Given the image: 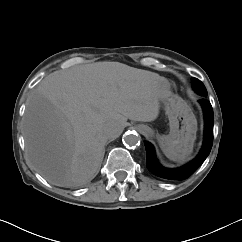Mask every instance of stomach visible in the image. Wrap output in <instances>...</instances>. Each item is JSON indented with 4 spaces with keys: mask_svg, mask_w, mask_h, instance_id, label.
Segmentation results:
<instances>
[{
    "mask_svg": "<svg viewBox=\"0 0 242 242\" xmlns=\"http://www.w3.org/2000/svg\"><path fill=\"white\" fill-rule=\"evenodd\" d=\"M161 103L169 119V135H157L162 149H170L187 158L193 148L196 137L197 122L193 112L179 96L169 94L161 98ZM139 130L152 134L147 125H139Z\"/></svg>",
    "mask_w": 242,
    "mask_h": 242,
    "instance_id": "0dacf381",
    "label": "stomach"
}]
</instances>
